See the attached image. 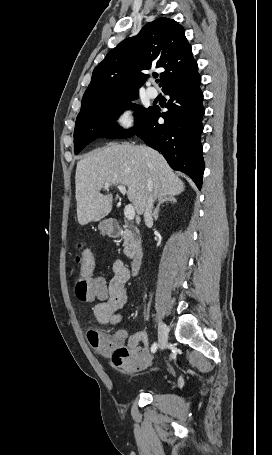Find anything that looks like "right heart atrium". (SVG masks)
Listing matches in <instances>:
<instances>
[{"label": "right heart atrium", "mask_w": 272, "mask_h": 455, "mask_svg": "<svg viewBox=\"0 0 272 455\" xmlns=\"http://www.w3.org/2000/svg\"><path fill=\"white\" fill-rule=\"evenodd\" d=\"M112 124L122 134L133 132L138 125V115L134 104L130 101L119 103L113 111Z\"/></svg>", "instance_id": "1"}]
</instances>
